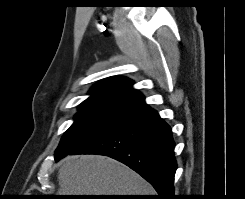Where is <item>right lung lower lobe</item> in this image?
I'll list each match as a JSON object with an SVG mask.
<instances>
[{"label": "right lung lower lobe", "mask_w": 245, "mask_h": 199, "mask_svg": "<svg viewBox=\"0 0 245 199\" xmlns=\"http://www.w3.org/2000/svg\"><path fill=\"white\" fill-rule=\"evenodd\" d=\"M174 147L170 126L154 109L148 108L126 117L98 139L70 154L114 158L152 184L159 194L156 199H175L173 183L177 163Z\"/></svg>", "instance_id": "right-lung-lower-lobe-1"}]
</instances>
